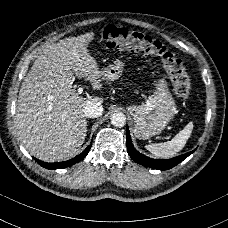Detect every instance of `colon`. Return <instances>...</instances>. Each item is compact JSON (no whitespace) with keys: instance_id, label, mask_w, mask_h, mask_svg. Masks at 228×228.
<instances>
[{"instance_id":"5ec220e1","label":"colon","mask_w":228,"mask_h":228,"mask_svg":"<svg viewBox=\"0 0 228 228\" xmlns=\"http://www.w3.org/2000/svg\"><path fill=\"white\" fill-rule=\"evenodd\" d=\"M101 43L110 48L137 50L160 59L169 72L174 93L186 97L191 92V83L182 60L160 41L140 31L118 26H107L99 31Z\"/></svg>"}]
</instances>
